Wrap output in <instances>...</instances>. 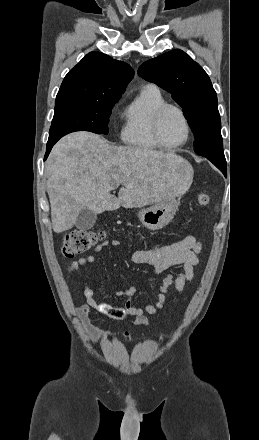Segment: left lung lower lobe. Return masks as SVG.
Wrapping results in <instances>:
<instances>
[{
    "mask_svg": "<svg viewBox=\"0 0 259 440\" xmlns=\"http://www.w3.org/2000/svg\"><path fill=\"white\" fill-rule=\"evenodd\" d=\"M217 168H219L224 175L227 174V169H226V160L225 157L223 158H208Z\"/></svg>",
    "mask_w": 259,
    "mask_h": 440,
    "instance_id": "left-lung-lower-lobe-1",
    "label": "left lung lower lobe"
}]
</instances>
